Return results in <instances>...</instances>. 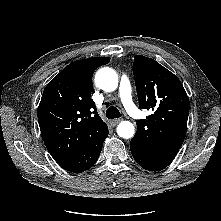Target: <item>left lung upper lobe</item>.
<instances>
[{
  "instance_id": "1",
  "label": "left lung upper lobe",
  "mask_w": 221,
  "mask_h": 221,
  "mask_svg": "<svg viewBox=\"0 0 221 221\" xmlns=\"http://www.w3.org/2000/svg\"><path fill=\"white\" fill-rule=\"evenodd\" d=\"M133 73L140 108L154 113L137 120L131 142L147 155L173 160L187 131L189 99L185 89L173 73L142 55H135Z\"/></svg>"
}]
</instances>
